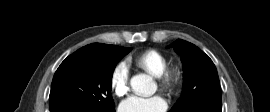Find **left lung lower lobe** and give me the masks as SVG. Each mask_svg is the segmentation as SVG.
Instances as JSON below:
<instances>
[{
	"label": "left lung lower lobe",
	"mask_w": 270,
	"mask_h": 112,
	"mask_svg": "<svg viewBox=\"0 0 270 112\" xmlns=\"http://www.w3.org/2000/svg\"><path fill=\"white\" fill-rule=\"evenodd\" d=\"M188 112H222V111H216V110H210V109H202L199 107H195L191 110H189Z\"/></svg>",
	"instance_id": "left-lung-lower-lobe-1"
}]
</instances>
